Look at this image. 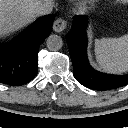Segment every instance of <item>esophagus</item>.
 Masks as SVG:
<instances>
[{"label": "esophagus", "instance_id": "obj_1", "mask_svg": "<svg viewBox=\"0 0 128 128\" xmlns=\"http://www.w3.org/2000/svg\"><path fill=\"white\" fill-rule=\"evenodd\" d=\"M67 25V21L63 18H58L53 23V30L55 32H62Z\"/></svg>", "mask_w": 128, "mask_h": 128}]
</instances>
